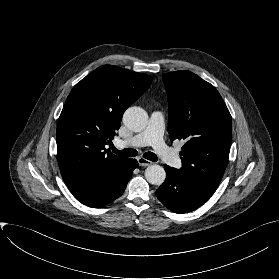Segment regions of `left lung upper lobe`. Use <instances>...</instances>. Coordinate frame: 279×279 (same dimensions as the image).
Instances as JSON below:
<instances>
[{
    "instance_id": "5c2ea615",
    "label": "left lung upper lobe",
    "mask_w": 279,
    "mask_h": 279,
    "mask_svg": "<svg viewBox=\"0 0 279 279\" xmlns=\"http://www.w3.org/2000/svg\"><path fill=\"white\" fill-rule=\"evenodd\" d=\"M163 82L168 96L170 140H186L180 152L179 172L217 189L232 139L228 108L213 85L190 71L166 73Z\"/></svg>"
}]
</instances>
